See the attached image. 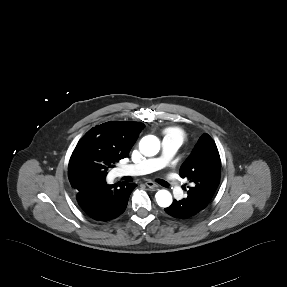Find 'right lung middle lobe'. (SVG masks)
<instances>
[{"instance_id":"dd1d6c3e","label":"right lung middle lobe","mask_w":287,"mask_h":287,"mask_svg":"<svg viewBox=\"0 0 287 287\" xmlns=\"http://www.w3.org/2000/svg\"><path fill=\"white\" fill-rule=\"evenodd\" d=\"M116 161L101 154H78L70 158L68 166L69 181H80L85 178H105L109 168L114 167Z\"/></svg>"}]
</instances>
